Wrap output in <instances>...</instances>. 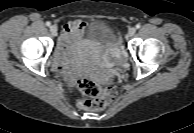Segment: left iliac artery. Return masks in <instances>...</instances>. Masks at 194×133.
I'll use <instances>...</instances> for the list:
<instances>
[{
  "mask_svg": "<svg viewBox=\"0 0 194 133\" xmlns=\"http://www.w3.org/2000/svg\"><path fill=\"white\" fill-rule=\"evenodd\" d=\"M140 27H141V25H140V24H137V25H136V28H137V29H139Z\"/></svg>",
  "mask_w": 194,
  "mask_h": 133,
  "instance_id": "obj_1",
  "label": "left iliac artery"
}]
</instances>
